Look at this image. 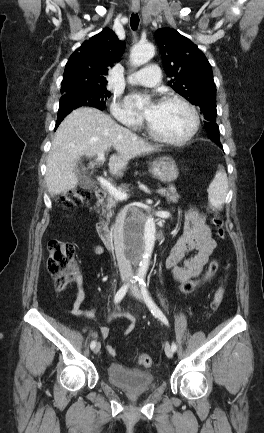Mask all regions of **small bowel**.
Returning a JSON list of instances; mask_svg holds the SVG:
<instances>
[{"instance_id":"small-bowel-1","label":"small bowel","mask_w":264,"mask_h":433,"mask_svg":"<svg viewBox=\"0 0 264 433\" xmlns=\"http://www.w3.org/2000/svg\"><path fill=\"white\" fill-rule=\"evenodd\" d=\"M216 248V242L212 238L211 230L206 224L205 216L197 210L188 209L183 217V230L176 243L171 248L165 262L166 268L172 270L175 279L186 282L198 276L203 267L208 263L210 256ZM91 251L95 254L103 253L101 245H94ZM77 294L70 313L73 315H91L88 310L82 308L85 300L83 289V278L80 273L75 277ZM125 331L129 333L134 326V319ZM101 338L105 339L109 335L108 327H101L98 331ZM110 355H115V349L107 346Z\"/></svg>"}]
</instances>
